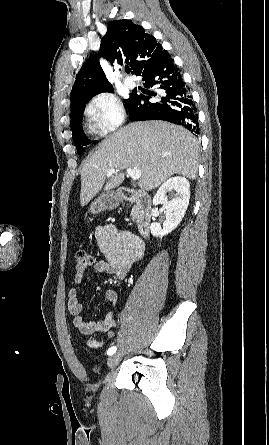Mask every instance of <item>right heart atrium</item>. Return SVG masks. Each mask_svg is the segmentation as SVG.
<instances>
[{"instance_id":"d8ad5b80","label":"right heart atrium","mask_w":269,"mask_h":445,"mask_svg":"<svg viewBox=\"0 0 269 445\" xmlns=\"http://www.w3.org/2000/svg\"><path fill=\"white\" fill-rule=\"evenodd\" d=\"M85 113L101 133L115 131L125 118L121 102L109 93L93 96L85 106Z\"/></svg>"}]
</instances>
